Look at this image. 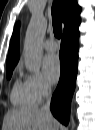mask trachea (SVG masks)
<instances>
[{
    "mask_svg": "<svg viewBox=\"0 0 95 130\" xmlns=\"http://www.w3.org/2000/svg\"><path fill=\"white\" fill-rule=\"evenodd\" d=\"M53 32L56 38L60 39L62 36V24L59 12L55 5L52 6Z\"/></svg>",
    "mask_w": 95,
    "mask_h": 130,
    "instance_id": "obj_1",
    "label": "trachea"
}]
</instances>
